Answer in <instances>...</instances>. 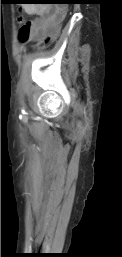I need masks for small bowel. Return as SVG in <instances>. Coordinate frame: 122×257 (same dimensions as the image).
<instances>
[{"instance_id": "obj_1", "label": "small bowel", "mask_w": 122, "mask_h": 257, "mask_svg": "<svg viewBox=\"0 0 122 257\" xmlns=\"http://www.w3.org/2000/svg\"><path fill=\"white\" fill-rule=\"evenodd\" d=\"M28 15L34 16V19L27 22L28 24V40L41 41L48 34V30H52L55 21L64 19L60 16L59 8H53L45 5H26L24 7Z\"/></svg>"}]
</instances>
